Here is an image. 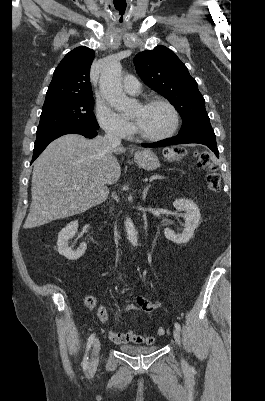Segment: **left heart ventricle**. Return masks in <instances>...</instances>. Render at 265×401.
<instances>
[{"instance_id": "left-heart-ventricle-1", "label": "left heart ventricle", "mask_w": 265, "mask_h": 401, "mask_svg": "<svg viewBox=\"0 0 265 401\" xmlns=\"http://www.w3.org/2000/svg\"><path fill=\"white\" fill-rule=\"evenodd\" d=\"M132 119L139 135L161 134L170 128L173 121L171 112L160 104L147 107L140 104L135 109Z\"/></svg>"}]
</instances>
